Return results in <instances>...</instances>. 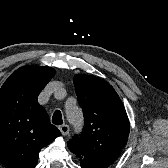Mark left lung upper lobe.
Instances as JSON below:
<instances>
[{
    "instance_id": "5c2ea615",
    "label": "left lung upper lobe",
    "mask_w": 168,
    "mask_h": 168,
    "mask_svg": "<svg viewBox=\"0 0 168 168\" xmlns=\"http://www.w3.org/2000/svg\"><path fill=\"white\" fill-rule=\"evenodd\" d=\"M78 103L83 110L81 135L68 141V148L79 158L109 167L127 143L130 131L126 110L113 87L89 75L73 78Z\"/></svg>"
}]
</instances>
